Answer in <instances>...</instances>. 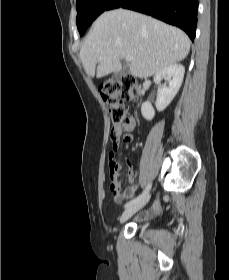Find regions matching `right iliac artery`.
Returning <instances> with one entry per match:
<instances>
[{
  "mask_svg": "<svg viewBox=\"0 0 229 280\" xmlns=\"http://www.w3.org/2000/svg\"><path fill=\"white\" fill-rule=\"evenodd\" d=\"M150 189H151V183H149L146 186L145 190L138 197H136V198L132 199L131 201L127 202L124 207L128 208V207L132 206L133 204L139 202L143 198H145L148 195Z\"/></svg>",
  "mask_w": 229,
  "mask_h": 280,
  "instance_id": "82829eb1",
  "label": "right iliac artery"
}]
</instances>
